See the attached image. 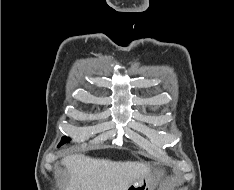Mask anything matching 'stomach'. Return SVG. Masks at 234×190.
Masks as SVG:
<instances>
[{
  "mask_svg": "<svg viewBox=\"0 0 234 190\" xmlns=\"http://www.w3.org/2000/svg\"><path fill=\"white\" fill-rule=\"evenodd\" d=\"M154 181L155 174L149 171L147 174L131 183L127 190H153L151 185H153Z\"/></svg>",
  "mask_w": 234,
  "mask_h": 190,
  "instance_id": "0dacf381",
  "label": "stomach"
}]
</instances>
